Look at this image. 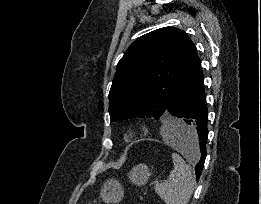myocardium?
Segmentation results:
<instances>
[{
    "instance_id": "myocardium-1",
    "label": "myocardium",
    "mask_w": 261,
    "mask_h": 204,
    "mask_svg": "<svg viewBox=\"0 0 261 204\" xmlns=\"http://www.w3.org/2000/svg\"><path fill=\"white\" fill-rule=\"evenodd\" d=\"M140 135V130L137 128H131L125 133V139L130 141L137 138Z\"/></svg>"
}]
</instances>
